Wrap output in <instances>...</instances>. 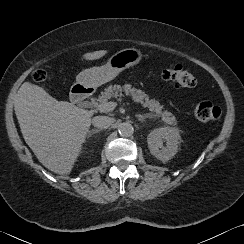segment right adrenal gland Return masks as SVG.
I'll list each match as a JSON object with an SVG mask.
<instances>
[{
  "label": "right adrenal gland",
  "mask_w": 244,
  "mask_h": 244,
  "mask_svg": "<svg viewBox=\"0 0 244 244\" xmlns=\"http://www.w3.org/2000/svg\"><path fill=\"white\" fill-rule=\"evenodd\" d=\"M99 132H100V129H93V130L90 132V134H89L88 137L92 136L93 134L99 133Z\"/></svg>",
  "instance_id": "1"
}]
</instances>
